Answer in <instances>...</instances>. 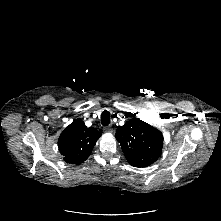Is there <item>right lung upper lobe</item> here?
<instances>
[{"label": "right lung upper lobe", "instance_id": "right-lung-upper-lobe-1", "mask_svg": "<svg viewBox=\"0 0 221 221\" xmlns=\"http://www.w3.org/2000/svg\"><path fill=\"white\" fill-rule=\"evenodd\" d=\"M101 133L93 128H87L80 119H75L61 133L58 140L60 153L67 163L84 162L92 152Z\"/></svg>", "mask_w": 221, "mask_h": 221}]
</instances>
